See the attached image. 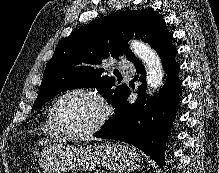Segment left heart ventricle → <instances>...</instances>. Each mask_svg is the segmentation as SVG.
Masks as SVG:
<instances>
[{
    "instance_id": "left-heart-ventricle-1",
    "label": "left heart ventricle",
    "mask_w": 219,
    "mask_h": 173,
    "mask_svg": "<svg viewBox=\"0 0 219 173\" xmlns=\"http://www.w3.org/2000/svg\"><path fill=\"white\" fill-rule=\"evenodd\" d=\"M101 114V105L93 97L85 94L70 95L58 106L59 121L70 131H80L90 127Z\"/></svg>"
}]
</instances>
